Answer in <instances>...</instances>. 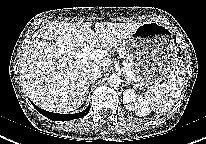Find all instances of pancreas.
<instances>
[{
	"label": "pancreas",
	"instance_id": "obj_1",
	"mask_svg": "<svg viewBox=\"0 0 206 144\" xmlns=\"http://www.w3.org/2000/svg\"><path fill=\"white\" fill-rule=\"evenodd\" d=\"M117 49L120 55L125 59L126 63L130 65V71L132 72L135 78L136 72L133 68V61L130 55L127 53L125 46L121 44Z\"/></svg>",
	"mask_w": 206,
	"mask_h": 144
}]
</instances>
